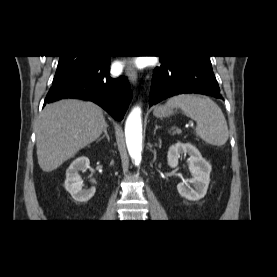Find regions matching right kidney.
I'll use <instances>...</instances> for the list:
<instances>
[{
    "mask_svg": "<svg viewBox=\"0 0 277 277\" xmlns=\"http://www.w3.org/2000/svg\"><path fill=\"white\" fill-rule=\"evenodd\" d=\"M89 164V159L85 156H81L75 159L66 170L65 188L78 202H87L96 192L94 187L83 189L80 171H85L89 167Z\"/></svg>",
    "mask_w": 277,
    "mask_h": 277,
    "instance_id": "right-kidney-1",
    "label": "right kidney"
}]
</instances>
